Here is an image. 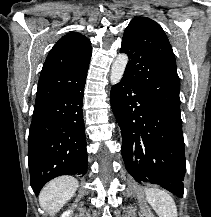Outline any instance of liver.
I'll return each instance as SVG.
<instances>
[{"label":"liver","mask_w":211,"mask_h":217,"mask_svg":"<svg viewBox=\"0 0 211 217\" xmlns=\"http://www.w3.org/2000/svg\"><path fill=\"white\" fill-rule=\"evenodd\" d=\"M78 181L71 176H61L50 181L39 194L42 209L53 217L74 196Z\"/></svg>","instance_id":"6515ba94"}]
</instances>
